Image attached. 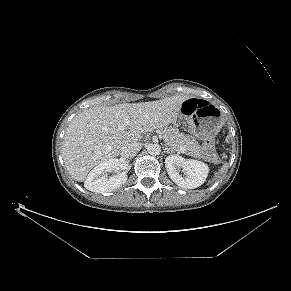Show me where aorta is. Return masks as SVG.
Segmentation results:
<instances>
[{
  "instance_id": "762f6f07",
  "label": "aorta",
  "mask_w": 291,
  "mask_h": 291,
  "mask_svg": "<svg viewBox=\"0 0 291 291\" xmlns=\"http://www.w3.org/2000/svg\"><path fill=\"white\" fill-rule=\"evenodd\" d=\"M147 150L152 156H157L161 153V147L159 144H149Z\"/></svg>"
}]
</instances>
